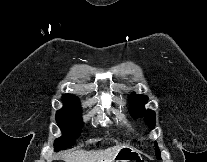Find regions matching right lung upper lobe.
Here are the masks:
<instances>
[{
	"label": "right lung upper lobe",
	"instance_id": "obj_1",
	"mask_svg": "<svg viewBox=\"0 0 207 162\" xmlns=\"http://www.w3.org/2000/svg\"><path fill=\"white\" fill-rule=\"evenodd\" d=\"M64 99H77L75 96L71 95V94H65L63 95Z\"/></svg>",
	"mask_w": 207,
	"mask_h": 162
}]
</instances>
